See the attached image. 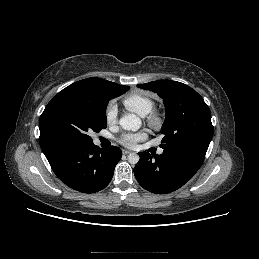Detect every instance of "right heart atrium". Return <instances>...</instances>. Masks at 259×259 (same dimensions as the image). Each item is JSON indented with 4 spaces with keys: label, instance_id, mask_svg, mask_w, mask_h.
Returning <instances> with one entry per match:
<instances>
[{
    "label": "right heart atrium",
    "instance_id": "obj_1",
    "mask_svg": "<svg viewBox=\"0 0 259 259\" xmlns=\"http://www.w3.org/2000/svg\"><path fill=\"white\" fill-rule=\"evenodd\" d=\"M117 114H118V110H117L116 103L114 101H109L105 109V116H106L107 122L109 124L114 123L117 119Z\"/></svg>",
    "mask_w": 259,
    "mask_h": 259
}]
</instances>
